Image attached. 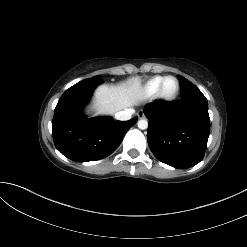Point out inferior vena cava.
I'll return each instance as SVG.
<instances>
[{
	"label": "inferior vena cava",
	"mask_w": 247,
	"mask_h": 247,
	"mask_svg": "<svg viewBox=\"0 0 247 247\" xmlns=\"http://www.w3.org/2000/svg\"><path fill=\"white\" fill-rule=\"evenodd\" d=\"M134 113L133 109H125L119 112L115 113V118L117 120H121V121H126L131 119L132 114Z\"/></svg>",
	"instance_id": "602c4592"
}]
</instances>
